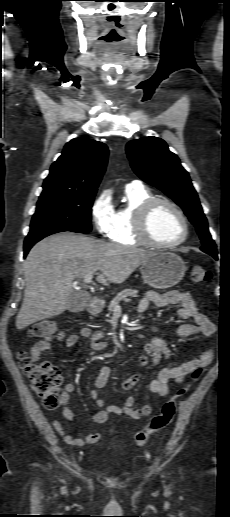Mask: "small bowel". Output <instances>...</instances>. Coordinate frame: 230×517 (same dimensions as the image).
Returning a JSON list of instances; mask_svg holds the SVG:
<instances>
[{"mask_svg":"<svg viewBox=\"0 0 230 517\" xmlns=\"http://www.w3.org/2000/svg\"><path fill=\"white\" fill-rule=\"evenodd\" d=\"M150 304L157 307L180 305L176 311V316L179 319H193V322L183 323L176 332L179 339H184L192 335H202L211 337L216 334V325L196 306L193 296L189 292L170 291L166 293H158L148 291L139 302V312L148 310ZM104 334L100 331H93L91 328L85 327L77 334H71L63 339L59 345L60 349L71 348L77 345L81 340H87L92 349L102 351L108 348V344L102 341ZM50 349L48 341L36 342L30 350V356L34 360H39L41 355ZM214 351L212 348L205 349L197 358L186 361L179 365L166 366L162 368L158 376L149 384V389L152 393L166 397L172 388L180 384L184 378L199 367L208 366L213 360ZM171 355V346L166 338L160 336H152L143 346L142 352L139 356V362L142 368L149 364L157 365L163 359L169 358ZM110 376V368L106 365L101 366L98 376L95 378L93 388L90 390L91 398L96 400L98 410L93 413L92 420L96 424H104L107 422L110 414L126 415L134 419H140L152 413L153 409L150 405H143L136 409L134 408L135 398L128 396L121 406L110 405L106 407V400L100 398L98 390L106 386ZM141 378V373H136L120 384L124 391L133 389ZM173 381V382H172ZM75 391L73 383L64 384V392L62 395V415L68 421H74L75 413L68 406L70 395ZM53 428L62 437L63 441L70 446L81 447L85 444H95L101 439V434L98 432L88 433L81 438L73 437L69 434L58 418L52 421Z\"/></svg>","mask_w":230,"mask_h":517,"instance_id":"1","label":"small bowel"}]
</instances>
